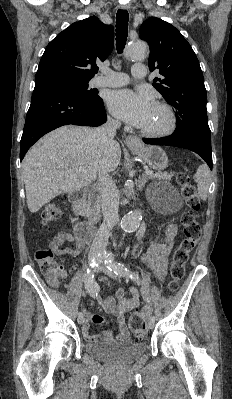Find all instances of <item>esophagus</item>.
I'll return each instance as SVG.
<instances>
[{
	"label": "esophagus",
	"mask_w": 232,
	"mask_h": 399,
	"mask_svg": "<svg viewBox=\"0 0 232 399\" xmlns=\"http://www.w3.org/2000/svg\"><path fill=\"white\" fill-rule=\"evenodd\" d=\"M130 8L129 3L120 4V9L128 10ZM126 145L130 149L139 148L141 146V139L137 135H128L126 137Z\"/></svg>",
	"instance_id": "34e87169"
}]
</instances>
